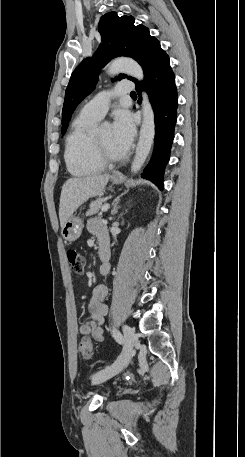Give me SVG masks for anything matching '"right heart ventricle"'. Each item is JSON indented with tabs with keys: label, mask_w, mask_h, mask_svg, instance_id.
<instances>
[{
	"label": "right heart ventricle",
	"mask_w": 245,
	"mask_h": 457,
	"mask_svg": "<svg viewBox=\"0 0 245 457\" xmlns=\"http://www.w3.org/2000/svg\"><path fill=\"white\" fill-rule=\"evenodd\" d=\"M96 119L80 115L73 121L66 137L65 159L72 174L83 175L101 169L86 155V139Z\"/></svg>",
	"instance_id": "1"
}]
</instances>
